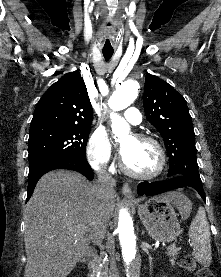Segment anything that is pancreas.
<instances>
[{"label": "pancreas", "instance_id": "obj_1", "mask_svg": "<svg viewBox=\"0 0 221 277\" xmlns=\"http://www.w3.org/2000/svg\"><path fill=\"white\" fill-rule=\"evenodd\" d=\"M179 250H180L179 248H174L167 252V255L171 257L170 262L172 264L174 263V259L177 256ZM107 275H108V268L106 266L99 268V277H107Z\"/></svg>", "mask_w": 221, "mask_h": 277}]
</instances>
